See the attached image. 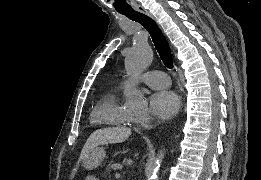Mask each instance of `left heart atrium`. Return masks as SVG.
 <instances>
[{
  "label": "left heart atrium",
  "instance_id": "1",
  "mask_svg": "<svg viewBox=\"0 0 261 180\" xmlns=\"http://www.w3.org/2000/svg\"><path fill=\"white\" fill-rule=\"evenodd\" d=\"M178 96L167 89H158L148 98L147 107L139 118L145 119L147 116H155L160 119L171 117L178 110Z\"/></svg>",
  "mask_w": 261,
  "mask_h": 180
}]
</instances>
